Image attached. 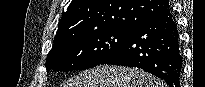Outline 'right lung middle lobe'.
Returning a JSON list of instances; mask_svg holds the SVG:
<instances>
[{"instance_id": "dd1d6c3e", "label": "right lung middle lobe", "mask_w": 205, "mask_h": 87, "mask_svg": "<svg viewBox=\"0 0 205 87\" xmlns=\"http://www.w3.org/2000/svg\"><path fill=\"white\" fill-rule=\"evenodd\" d=\"M132 33L133 30L109 28L57 41L47 55V72L84 70L97 66L119 49Z\"/></svg>"}]
</instances>
